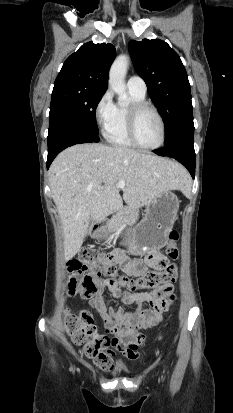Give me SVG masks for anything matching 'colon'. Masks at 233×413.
Listing matches in <instances>:
<instances>
[{
	"label": "colon",
	"mask_w": 233,
	"mask_h": 413,
	"mask_svg": "<svg viewBox=\"0 0 233 413\" xmlns=\"http://www.w3.org/2000/svg\"><path fill=\"white\" fill-rule=\"evenodd\" d=\"M167 255L177 260L179 248L177 241L179 233L172 230L169 235ZM68 292L79 293L86 298L93 297L103 280L114 281L131 290L157 289L176 278L177 266L173 263L164 264L158 271L147 270L136 279L121 276L118 273L116 260L92 248L82 249L78 257L68 262ZM67 334L77 344H83L87 356L96 360L102 368H108L111 352L108 350L111 340L105 335H99L92 315L88 311L79 314H69L65 324Z\"/></svg>",
	"instance_id": "colon-1"
}]
</instances>
